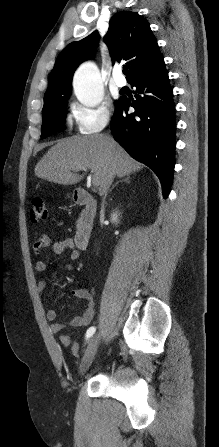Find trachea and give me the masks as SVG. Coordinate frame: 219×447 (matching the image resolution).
<instances>
[{
    "mask_svg": "<svg viewBox=\"0 0 219 447\" xmlns=\"http://www.w3.org/2000/svg\"><path fill=\"white\" fill-rule=\"evenodd\" d=\"M127 72H128V68L127 67H123V73L127 74Z\"/></svg>",
    "mask_w": 219,
    "mask_h": 447,
    "instance_id": "1",
    "label": "trachea"
}]
</instances>
